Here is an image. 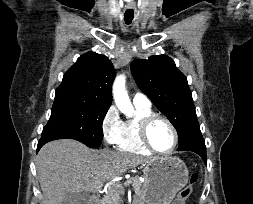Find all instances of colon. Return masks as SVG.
Segmentation results:
<instances>
[{"label":"colon","mask_w":253,"mask_h":204,"mask_svg":"<svg viewBox=\"0 0 253 204\" xmlns=\"http://www.w3.org/2000/svg\"><path fill=\"white\" fill-rule=\"evenodd\" d=\"M198 180V174L193 173L190 176V182L186 186H184L178 193L176 199L174 200L173 204H185L186 201L191 196L193 186Z\"/></svg>","instance_id":"colon-1"}]
</instances>
